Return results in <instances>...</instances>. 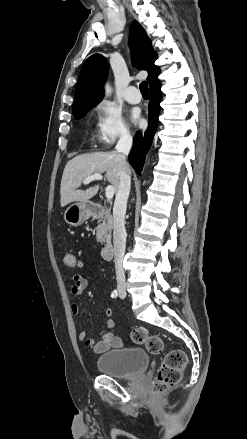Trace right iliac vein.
Returning <instances> with one entry per match:
<instances>
[{
    "instance_id": "right-iliac-vein-1",
    "label": "right iliac vein",
    "mask_w": 247,
    "mask_h": 439,
    "mask_svg": "<svg viewBox=\"0 0 247 439\" xmlns=\"http://www.w3.org/2000/svg\"><path fill=\"white\" fill-rule=\"evenodd\" d=\"M125 292V290L124 289H120V293H124Z\"/></svg>"
}]
</instances>
